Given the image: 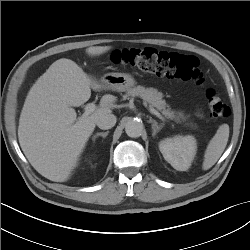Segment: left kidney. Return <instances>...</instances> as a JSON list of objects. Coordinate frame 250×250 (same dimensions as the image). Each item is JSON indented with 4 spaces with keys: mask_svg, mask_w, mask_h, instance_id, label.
Instances as JSON below:
<instances>
[{
    "mask_svg": "<svg viewBox=\"0 0 250 250\" xmlns=\"http://www.w3.org/2000/svg\"><path fill=\"white\" fill-rule=\"evenodd\" d=\"M196 140L193 136H175L159 143L164 159L178 171H186L196 155Z\"/></svg>",
    "mask_w": 250,
    "mask_h": 250,
    "instance_id": "obj_1",
    "label": "left kidney"
}]
</instances>
